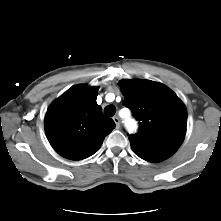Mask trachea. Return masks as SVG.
<instances>
[{
	"label": "trachea",
	"mask_w": 221,
	"mask_h": 221,
	"mask_svg": "<svg viewBox=\"0 0 221 221\" xmlns=\"http://www.w3.org/2000/svg\"><path fill=\"white\" fill-rule=\"evenodd\" d=\"M105 115L112 117L116 113V107L114 105H108L104 108Z\"/></svg>",
	"instance_id": "trachea-1"
}]
</instances>
